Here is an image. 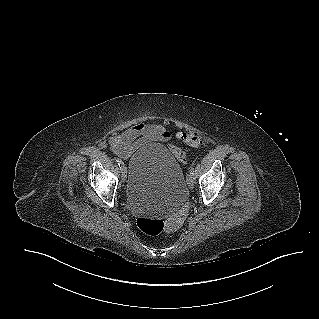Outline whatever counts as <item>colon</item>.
Listing matches in <instances>:
<instances>
[{
	"label": "colon",
	"mask_w": 319,
	"mask_h": 319,
	"mask_svg": "<svg viewBox=\"0 0 319 319\" xmlns=\"http://www.w3.org/2000/svg\"><path fill=\"white\" fill-rule=\"evenodd\" d=\"M177 137L178 139L183 142L184 144L192 147H198L204 143L205 140V133L198 129H188V128H179L177 130ZM170 150L174 157L182 164H185L187 161L185 151L176 146L172 145ZM137 227L138 229L145 235L148 236H156L161 234L165 228V223L157 218L151 217H139L137 219Z\"/></svg>",
	"instance_id": "colon-1"
}]
</instances>
